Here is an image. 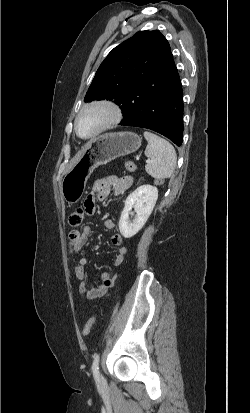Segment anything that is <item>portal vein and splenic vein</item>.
<instances>
[{"label": "portal vein and splenic vein", "mask_w": 250, "mask_h": 413, "mask_svg": "<svg viewBox=\"0 0 250 413\" xmlns=\"http://www.w3.org/2000/svg\"><path fill=\"white\" fill-rule=\"evenodd\" d=\"M136 160H139V156L136 157ZM147 163L150 162V160H146Z\"/></svg>", "instance_id": "18ae733b"}]
</instances>
